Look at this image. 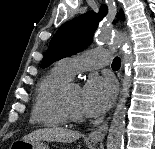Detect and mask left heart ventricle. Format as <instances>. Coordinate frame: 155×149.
I'll list each match as a JSON object with an SVG mask.
<instances>
[{
	"label": "left heart ventricle",
	"mask_w": 155,
	"mask_h": 149,
	"mask_svg": "<svg viewBox=\"0 0 155 149\" xmlns=\"http://www.w3.org/2000/svg\"><path fill=\"white\" fill-rule=\"evenodd\" d=\"M80 98H81V89L78 86L70 85L67 91L68 102L76 113L83 115L80 107Z\"/></svg>",
	"instance_id": "1"
}]
</instances>
